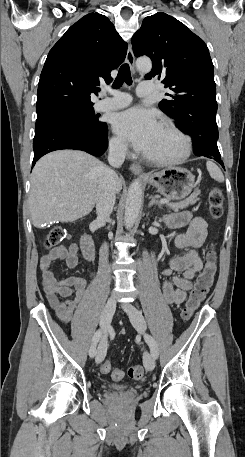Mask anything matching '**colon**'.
I'll list each match as a JSON object with an SVG mask.
<instances>
[{"mask_svg": "<svg viewBox=\"0 0 245 457\" xmlns=\"http://www.w3.org/2000/svg\"><path fill=\"white\" fill-rule=\"evenodd\" d=\"M208 205L210 215L213 218L218 219L223 215V193L218 187H212L209 190ZM65 235V231L62 228H51L44 238V246L46 248L58 246L64 240ZM216 271V253L214 249L211 248L206 253L204 267L198 275L194 287L182 310L181 317L184 321L189 320L198 309L199 305L205 300L213 285ZM100 371L105 374H110L113 380H120L123 377V372L120 369H113L109 360H105L100 364ZM127 374L131 379L139 380L144 375V368L140 364L130 366L127 370Z\"/></svg>", "mask_w": 245, "mask_h": 457, "instance_id": "colon-1", "label": "colon"}]
</instances>
